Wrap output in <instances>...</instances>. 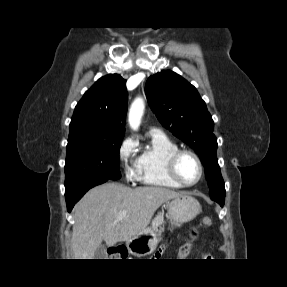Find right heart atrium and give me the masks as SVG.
Masks as SVG:
<instances>
[{
    "label": "right heart atrium",
    "instance_id": "d8ad5b80",
    "mask_svg": "<svg viewBox=\"0 0 287 287\" xmlns=\"http://www.w3.org/2000/svg\"><path fill=\"white\" fill-rule=\"evenodd\" d=\"M134 150L135 142L131 138H125L118 148V158L124 167L126 178L130 181L138 178L136 168L129 163Z\"/></svg>",
    "mask_w": 287,
    "mask_h": 287
}]
</instances>
